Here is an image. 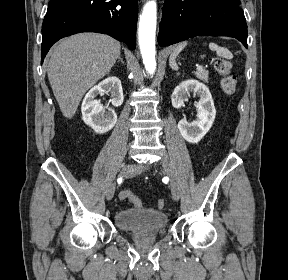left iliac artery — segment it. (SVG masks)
Listing matches in <instances>:
<instances>
[{
    "label": "left iliac artery",
    "mask_w": 288,
    "mask_h": 280,
    "mask_svg": "<svg viewBox=\"0 0 288 280\" xmlns=\"http://www.w3.org/2000/svg\"><path fill=\"white\" fill-rule=\"evenodd\" d=\"M169 186H170V187H173V186H174V183H173V182H170V183H169Z\"/></svg>",
    "instance_id": "44dca946"
}]
</instances>
